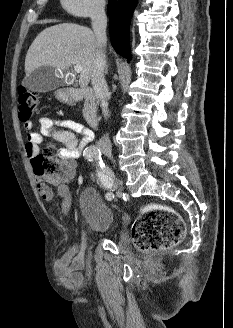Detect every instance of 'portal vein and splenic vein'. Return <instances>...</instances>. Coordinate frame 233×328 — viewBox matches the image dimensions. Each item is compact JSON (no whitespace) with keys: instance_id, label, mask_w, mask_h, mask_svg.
<instances>
[{"instance_id":"obj_1","label":"portal vein and splenic vein","mask_w":233,"mask_h":328,"mask_svg":"<svg viewBox=\"0 0 233 328\" xmlns=\"http://www.w3.org/2000/svg\"><path fill=\"white\" fill-rule=\"evenodd\" d=\"M74 70H75L76 73H81L83 68H82L81 65L77 64V65L74 66Z\"/></svg>"}]
</instances>
